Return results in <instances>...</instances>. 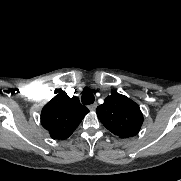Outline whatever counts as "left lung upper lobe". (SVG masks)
<instances>
[{
	"label": "left lung upper lobe",
	"mask_w": 181,
	"mask_h": 181,
	"mask_svg": "<svg viewBox=\"0 0 181 181\" xmlns=\"http://www.w3.org/2000/svg\"><path fill=\"white\" fill-rule=\"evenodd\" d=\"M96 113L102 124L120 138L137 135L143 123L138 104L115 91L97 107Z\"/></svg>",
	"instance_id": "1"
}]
</instances>
